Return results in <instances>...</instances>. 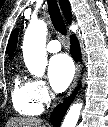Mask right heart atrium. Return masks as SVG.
<instances>
[{
	"instance_id": "obj_1",
	"label": "right heart atrium",
	"mask_w": 108,
	"mask_h": 127,
	"mask_svg": "<svg viewBox=\"0 0 108 127\" xmlns=\"http://www.w3.org/2000/svg\"><path fill=\"white\" fill-rule=\"evenodd\" d=\"M32 87L36 99L41 103L45 104L52 98V93L47 84L41 79H35L32 81Z\"/></svg>"
}]
</instances>
